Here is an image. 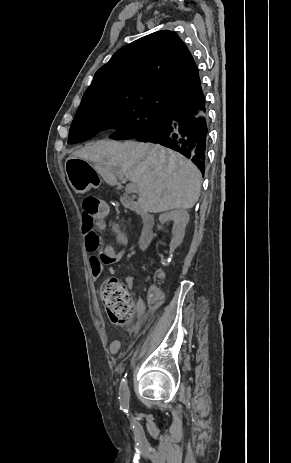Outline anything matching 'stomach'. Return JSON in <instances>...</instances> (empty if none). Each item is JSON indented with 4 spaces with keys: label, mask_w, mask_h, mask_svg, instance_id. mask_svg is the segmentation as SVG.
Segmentation results:
<instances>
[{
    "label": "stomach",
    "mask_w": 291,
    "mask_h": 463,
    "mask_svg": "<svg viewBox=\"0 0 291 463\" xmlns=\"http://www.w3.org/2000/svg\"><path fill=\"white\" fill-rule=\"evenodd\" d=\"M65 170L72 188L77 193L83 194L91 188L99 187L96 171L89 165L88 157H67Z\"/></svg>",
    "instance_id": "0dacf381"
}]
</instances>
